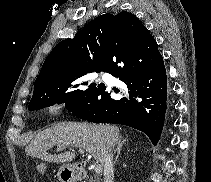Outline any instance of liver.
<instances>
[{"mask_svg": "<svg viewBox=\"0 0 211 182\" xmlns=\"http://www.w3.org/2000/svg\"><path fill=\"white\" fill-rule=\"evenodd\" d=\"M121 139L119 128L112 125L61 122L38 133L26 147V154L54 163H66L75 158L73 152L49 155L47 151L57 145L59 149L82 148L104 164L105 152Z\"/></svg>", "mask_w": 211, "mask_h": 182, "instance_id": "liver-1", "label": "liver"}]
</instances>
